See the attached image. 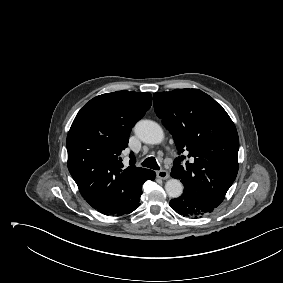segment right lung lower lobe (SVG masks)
Here are the masks:
<instances>
[{
  "label": "right lung lower lobe",
  "mask_w": 283,
  "mask_h": 283,
  "mask_svg": "<svg viewBox=\"0 0 283 283\" xmlns=\"http://www.w3.org/2000/svg\"><path fill=\"white\" fill-rule=\"evenodd\" d=\"M155 176H156L155 172H154V171H151V173H149V174L145 177V179H146V180H154V179H155ZM146 180H145V181H146ZM138 207H139V202H138L137 205H135L128 213L134 211V210L137 209Z\"/></svg>",
  "instance_id": "obj_1"
}]
</instances>
